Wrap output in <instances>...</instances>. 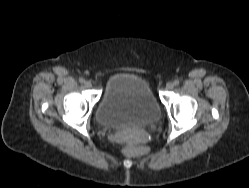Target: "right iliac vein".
<instances>
[{"mask_svg": "<svg viewBox=\"0 0 249 188\" xmlns=\"http://www.w3.org/2000/svg\"><path fill=\"white\" fill-rule=\"evenodd\" d=\"M84 85H85V87H87V88H91V87H92L91 81H86V82L84 83Z\"/></svg>", "mask_w": 249, "mask_h": 188, "instance_id": "right-iliac-vein-1", "label": "right iliac vein"}]
</instances>
